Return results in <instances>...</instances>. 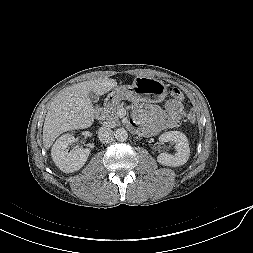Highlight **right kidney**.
<instances>
[{
  "label": "right kidney",
  "mask_w": 253,
  "mask_h": 253,
  "mask_svg": "<svg viewBox=\"0 0 253 253\" xmlns=\"http://www.w3.org/2000/svg\"><path fill=\"white\" fill-rule=\"evenodd\" d=\"M73 140V135L65 134L57 139L51 150L54 163L65 173H72L81 169L90 154L88 148H77L68 152L66 148Z\"/></svg>",
  "instance_id": "obj_1"
}]
</instances>
